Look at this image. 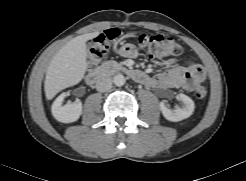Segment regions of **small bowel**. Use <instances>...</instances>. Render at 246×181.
<instances>
[{
	"label": "small bowel",
	"instance_id": "small-bowel-1",
	"mask_svg": "<svg viewBox=\"0 0 246 181\" xmlns=\"http://www.w3.org/2000/svg\"><path fill=\"white\" fill-rule=\"evenodd\" d=\"M119 54L124 58H134L137 56L136 48L131 44H125L120 47ZM167 67L164 73L147 76L146 85L158 89L183 88L191 91L203 82L205 73L202 70L200 74L191 69V65H178L176 59H169L162 63Z\"/></svg>",
	"mask_w": 246,
	"mask_h": 181
}]
</instances>
